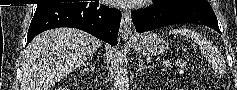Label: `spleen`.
<instances>
[{"label":"spleen","mask_w":237,"mask_h":90,"mask_svg":"<svg viewBox=\"0 0 237 90\" xmlns=\"http://www.w3.org/2000/svg\"><path fill=\"white\" fill-rule=\"evenodd\" d=\"M170 34H180V36L191 38L193 42H196V44H198L200 50H203L202 54H204V56H207L208 44H210V42H207V40H205V38H202V36H200V34H197V32H191V30L181 28V30H170Z\"/></svg>","instance_id":"spleen-1"}]
</instances>
